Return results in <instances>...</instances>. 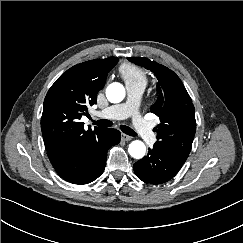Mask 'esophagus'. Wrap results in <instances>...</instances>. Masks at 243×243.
I'll return each instance as SVG.
<instances>
[{
    "mask_svg": "<svg viewBox=\"0 0 243 243\" xmlns=\"http://www.w3.org/2000/svg\"><path fill=\"white\" fill-rule=\"evenodd\" d=\"M122 139H123L124 141H130V140H132V137L123 133V134H122Z\"/></svg>",
    "mask_w": 243,
    "mask_h": 243,
    "instance_id": "esophagus-1",
    "label": "esophagus"
}]
</instances>
